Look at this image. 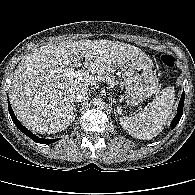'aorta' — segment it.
Returning <instances> with one entry per match:
<instances>
[{
  "label": "aorta",
  "mask_w": 195,
  "mask_h": 195,
  "mask_svg": "<svg viewBox=\"0 0 195 195\" xmlns=\"http://www.w3.org/2000/svg\"><path fill=\"white\" fill-rule=\"evenodd\" d=\"M93 105L97 109H103L105 107V101L102 98H97L94 100Z\"/></svg>",
  "instance_id": "762f6f07"
}]
</instances>
